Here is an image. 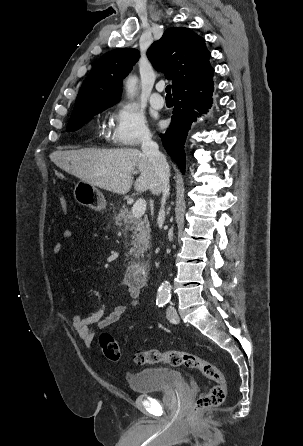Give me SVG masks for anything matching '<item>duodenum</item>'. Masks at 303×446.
<instances>
[{
    "label": "duodenum",
    "instance_id": "1",
    "mask_svg": "<svg viewBox=\"0 0 303 446\" xmlns=\"http://www.w3.org/2000/svg\"><path fill=\"white\" fill-rule=\"evenodd\" d=\"M147 264L144 260L134 261L127 269L128 284L141 287L146 281Z\"/></svg>",
    "mask_w": 303,
    "mask_h": 446
}]
</instances>
